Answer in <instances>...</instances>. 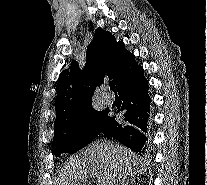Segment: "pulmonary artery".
<instances>
[{"mask_svg":"<svg viewBox=\"0 0 207 185\" xmlns=\"http://www.w3.org/2000/svg\"><path fill=\"white\" fill-rule=\"evenodd\" d=\"M101 98H102V100L106 103V104H111V103H113V96H111V95H108V94H106V93H104V94H102L101 95Z\"/></svg>","mask_w":207,"mask_h":185,"instance_id":"pulmonary-artery-1","label":"pulmonary artery"}]
</instances>
